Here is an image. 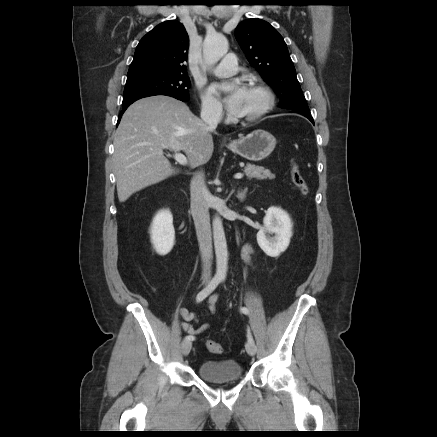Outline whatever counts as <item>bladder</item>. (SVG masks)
I'll return each mask as SVG.
<instances>
[{
    "label": "bladder",
    "instance_id": "31cf9c89",
    "mask_svg": "<svg viewBox=\"0 0 437 437\" xmlns=\"http://www.w3.org/2000/svg\"><path fill=\"white\" fill-rule=\"evenodd\" d=\"M198 375L208 382L237 381L243 370L235 360L204 361L198 367Z\"/></svg>",
    "mask_w": 437,
    "mask_h": 437
}]
</instances>
